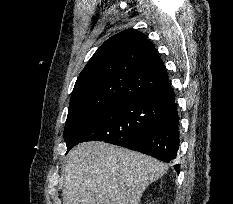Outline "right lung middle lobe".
Here are the masks:
<instances>
[{"instance_id":"obj_1","label":"right lung middle lobe","mask_w":233,"mask_h":204,"mask_svg":"<svg viewBox=\"0 0 233 204\" xmlns=\"http://www.w3.org/2000/svg\"><path fill=\"white\" fill-rule=\"evenodd\" d=\"M161 116L152 97H137L110 103L86 113L65 126L67 152L80 142L115 143L157 126Z\"/></svg>"}]
</instances>
